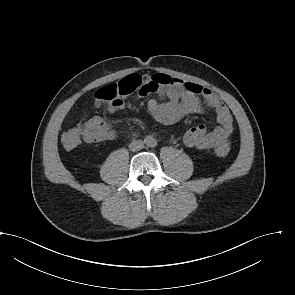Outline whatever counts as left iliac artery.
<instances>
[{
	"label": "left iliac artery",
	"instance_id": "obj_1",
	"mask_svg": "<svg viewBox=\"0 0 295 295\" xmlns=\"http://www.w3.org/2000/svg\"><path fill=\"white\" fill-rule=\"evenodd\" d=\"M156 145H157V142L155 140H153L150 144L151 147H156Z\"/></svg>",
	"mask_w": 295,
	"mask_h": 295
}]
</instances>
